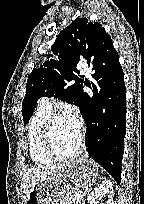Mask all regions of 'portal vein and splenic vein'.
<instances>
[{"instance_id":"portal-vein-and-splenic-vein-1","label":"portal vein and splenic vein","mask_w":144,"mask_h":204,"mask_svg":"<svg viewBox=\"0 0 144 204\" xmlns=\"http://www.w3.org/2000/svg\"><path fill=\"white\" fill-rule=\"evenodd\" d=\"M76 197L79 199V198L82 197V196H81L80 193H76Z\"/></svg>"}]
</instances>
